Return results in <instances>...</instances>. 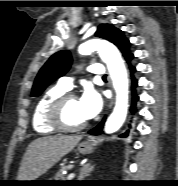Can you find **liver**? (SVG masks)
<instances>
[{"label":"liver","instance_id":"liver-1","mask_svg":"<svg viewBox=\"0 0 178 186\" xmlns=\"http://www.w3.org/2000/svg\"><path fill=\"white\" fill-rule=\"evenodd\" d=\"M81 135H54L32 141L20 164L19 181H32L45 174L62 157L74 149Z\"/></svg>","mask_w":178,"mask_h":186}]
</instances>
